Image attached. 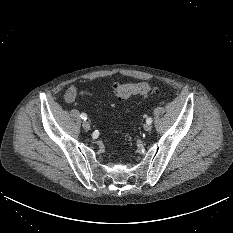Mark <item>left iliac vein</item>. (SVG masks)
I'll list each match as a JSON object with an SVG mask.
<instances>
[{
  "label": "left iliac vein",
  "mask_w": 233,
  "mask_h": 233,
  "mask_svg": "<svg viewBox=\"0 0 233 233\" xmlns=\"http://www.w3.org/2000/svg\"><path fill=\"white\" fill-rule=\"evenodd\" d=\"M144 129H145V131H150V130L152 129L151 124L146 123V124L144 125Z\"/></svg>",
  "instance_id": "left-iliac-vein-1"
}]
</instances>
